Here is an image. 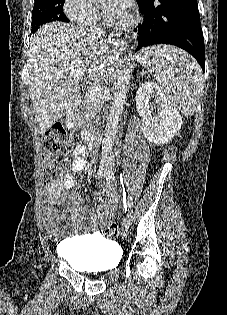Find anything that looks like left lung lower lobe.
<instances>
[{"label":"left lung lower lobe","mask_w":227,"mask_h":315,"mask_svg":"<svg viewBox=\"0 0 227 315\" xmlns=\"http://www.w3.org/2000/svg\"><path fill=\"white\" fill-rule=\"evenodd\" d=\"M144 22L134 31L138 46L171 44L189 52L205 71V46L197 0H145L138 2Z\"/></svg>","instance_id":"left-lung-lower-lobe-1"}]
</instances>
